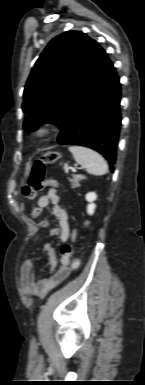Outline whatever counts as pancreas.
Wrapping results in <instances>:
<instances>
[{"label":"pancreas","instance_id":"1","mask_svg":"<svg viewBox=\"0 0 145 385\" xmlns=\"http://www.w3.org/2000/svg\"><path fill=\"white\" fill-rule=\"evenodd\" d=\"M83 177L80 175H73L72 178L70 179L71 185L73 189H76L80 186L79 182L82 180Z\"/></svg>","mask_w":145,"mask_h":385}]
</instances>
